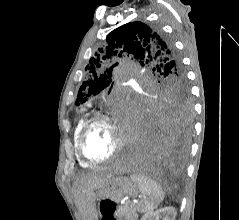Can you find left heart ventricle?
Returning a JSON list of instances; mask_svg holds the SVG:
<instances>
[{"mask_svg": "<svg viewBox=\"0 0 239 220\" xmlns=\"http://www.w3.org/2000/svg\"><path fill=\"white\" fill-rule=\"evenodd\" d=\"M117 133L112 125L98 123L91 128L85 140V150L94 159L108 157L117 144Z\"/></svg>", "mask_w": 239, "mask_h": 220, "instance_id": "b2bd125f", "label": "left heart ventricle"}]
</instances>
